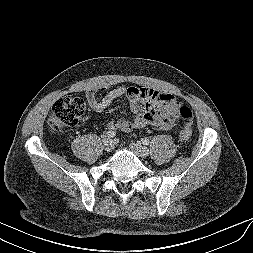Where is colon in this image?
<instances>
[{
	"label": "colon",
	"mask_w": 253,
	"mask_h": 253,
	"mask_svg": "<svg viewBox=\"0 0 253 253\" xmlns=\"http://www.w3.org/2000/svg\"><path fill=\"white\" fill-rule=\"evenodd\" d=\"M85 110V102L80 97L65 96L57 100L48 120L49 128L54 132H63L75 126ZM181 118L184 128L180 133L183 142H188L192 136L190 123L192 121V112L189 108H183Z\"/></svg>",
	"instance_id": "1"
}]
</instances>
